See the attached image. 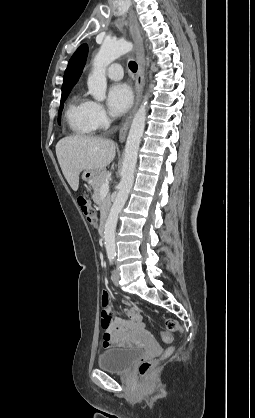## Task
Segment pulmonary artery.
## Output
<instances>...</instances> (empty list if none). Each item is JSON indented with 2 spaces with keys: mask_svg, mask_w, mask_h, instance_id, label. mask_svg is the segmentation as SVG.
<instances>
[{
  "mask_svg": "<svg viewBox=\"0 0 255 418\" xmlns=\"http://www.w3.org/2000/svg\"><path fill=\"white\" fill-rule=\"evenodd\" d=\"M107 76L112 80H120L123 77V69L120 64L114 63L107 69Z\"/></svg>",
  "mask_w": 255,
  "mask_h": 418,
  "instance_id": "1",
  "label": "pulmonary artery"
}]
</instances>
